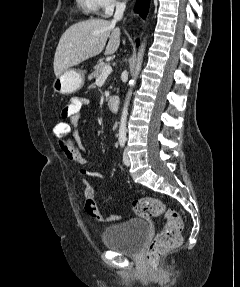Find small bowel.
I'll list each match as a JSON object with an SVG mask.
<instances>
[{
    "label": "small bowel",
    "instance_id": "1",
    "mask_svg": "<svg viewBox=\"0 0 240 287\" xmlns=\"http://www.w3.org/2000/svg\"><path fill=\"white\" fill-rule=\"evenodd\" d=\"M88 104L89 99L75 95L69 99L65 106H63L60 111V117L71 124L72 133L70 144L59 142V145L66 158L74 165L81 167L80 173L84 177L102 179L105 177L104 173L85 168L89 161L85 157V147L82 144L81 137L77 129L80 111L82 107Z\"/></svg>",
    "mask_w": 240,
    "mask_h": 287
}]
</instances>
